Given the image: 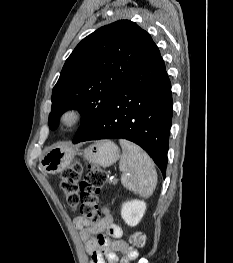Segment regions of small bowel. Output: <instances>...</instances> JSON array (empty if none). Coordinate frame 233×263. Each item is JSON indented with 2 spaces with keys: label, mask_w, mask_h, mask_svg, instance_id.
<instances>
[{
  "label": "small bowel",
  "mask_w": 233,
  "mask_h": 263,
  "mask_svg": "<svg viewBox=\"0 0 233 263\" xmlns=\"http://www.w3.org/2000/svg\"><path fill=\"white\" fill-rule=\"evenodd\" d=\"M103 213L96 223H90L83 216H77L73 221L90 255V263H131L138 252L122 239L123 231L113 223L108 208L105 207Z\"/></svg>",
  "instance_id": "obj_1"
}]
</instances>
